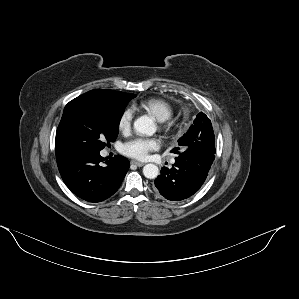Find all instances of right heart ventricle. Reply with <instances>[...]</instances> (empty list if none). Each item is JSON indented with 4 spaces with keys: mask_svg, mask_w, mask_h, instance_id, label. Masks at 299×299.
Instances as JSON below:
<instances>
[{
    "mask_svg": "<svg viewBox=\"0 0 299 299\" xmlns=\"http://www.w3.org/2000/svg\"><path fill=\"white\" fill-rule=\"evenodd\" d=\"M135 108L146 112L158 122L167 121L173 114L172 105L165 99L157 97L143 99L135 105Z\"/></svg>",
    "mask_w": 299,
    "mask_h": 299,
    "instance_id": "right-heart-ventricle-1",
    "label": "right heart ventricle"
}]
</instances>
